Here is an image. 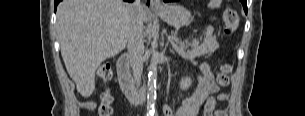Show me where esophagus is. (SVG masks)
Listing matches in <instances>:
<instances>
[{"mask_svg":"<svg viewBox=\"0 0 305 116\" xmlns=\"http://www.w3.org/2000/svg\"><path fill=\"white\" fill-rule=\"evenodd\" d=\"M162 3L160 0H150V8L152 10H159L162 9Z\"/></svg>","mask_w":305,"mask_h":116,"instance_id":"1","label":"esophagus"}]
</instances>
